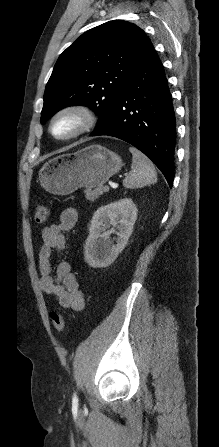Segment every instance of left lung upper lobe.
<instances>
[{
	"label": "left lung upper lobe",
	"mask_w": 219,
	"mask_h": 447,
	"mask_svg": "<svg viewBox=\"0 0 219 447\" xmlns=\"http://www.w3.org/2000/svg\"><path fill=\"white\" fill-rule=\"evenodd\" d=\"M134 24L114 20L81 35L59 57L46 85L41 123L59 110L87 105L100 125L150 44Z\"/></svg>",
	"instance_id": "5c2ea615"
}]
</instances>
